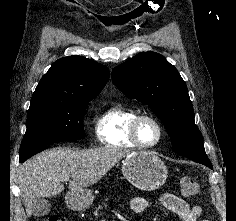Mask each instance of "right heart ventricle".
<instances>
[{"label":"right heart ventricle","instance_id":"obj_1","mask_svg":"<svg viewBox=\"0 0 236 221\" xmlns=\"http://www.w3.org/2000/svg\"><path fill=\"white\" fill-rule=\"evenodd\" d=\"M137 115V110L120 103L107 108L95 124L98 140L109 148H137L129 138L130 124Z\"/></svg>","mask_w":236,"mask_h":221}]
</instances>
